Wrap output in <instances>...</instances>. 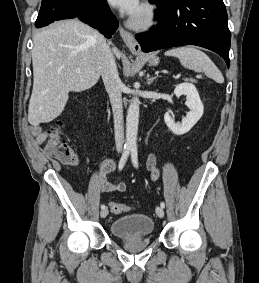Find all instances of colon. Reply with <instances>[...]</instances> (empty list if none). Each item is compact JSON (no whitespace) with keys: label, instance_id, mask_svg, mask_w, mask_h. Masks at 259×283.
Returning a JSON list of instances; mask_svg holds the SVG:
<instances>
[{"label":"colon","instance_id":"5ec220e1","mask_svg":"<svg viewBox=\"0 0 259 283\" xmlns=\"http://www.w3.org/2000/svg\"><path fill=\"white\" fill-rule=\"evenodd\" d=\"M46 151L50 157L59 160L65 165H75L79 162L78 154L67 138H65L60 125L51 129ZM109 207L114 214H121L129 210L127 205L118 202L109 203Z\"/></svg>","mask_w":259,"mask_h":283}]
</instances>
